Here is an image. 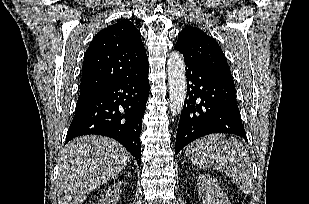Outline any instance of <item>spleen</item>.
I'll return each mask as SVG.
<instances>
[{
    "label": "spleen",
    "mask_w": 309,
    "mask_h": 204,
    "mask_svg": "<svg viewBox=\"0 0 309 204\" xmlns=\"http://www.w3.org/2000/svg\"><path fill=\"white\" fill-rule=\"evenodd\" d=\"M185 153L200 169L224 171L243 193L253 190L251 161L238 139H227L222 134L209 135L188 145Z\"/></svg>",
    "instance_id": "3e777b00"
}]
</instances>
